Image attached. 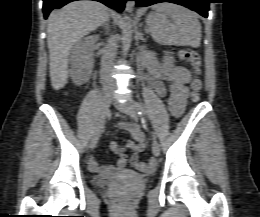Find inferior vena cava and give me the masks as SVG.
<instances>
[{
	"label": "inferior vena cava",
	"mask_w": 260,
	"mask_h": 217,
	"mask_svg": "<svg viewBox=\"0 0 260 217\" xmlns=\"http://www.w3.org/2000/svg\"><path fill=\"white\" fill-rule=\"evenodd\" d=\"M117 42L116 37L111 36L104 49V53L101 60V79L104 86L113 85L114 81L111 76V70L114 65L116 57Z\"/></svg>",
	"instance_id": "602c4592"
}]
</instances>
